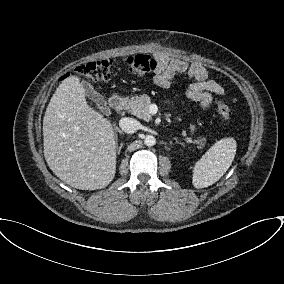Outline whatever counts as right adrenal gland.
<instances>
[{
  "instance_id": "1",
  "label": "right adrenal gland",
  "mask_w": 284,
  "mask_h": 284,
  "mask_svg": "<svg viewBox=\"0 0 284 284\" xmlns=\"http://www.w3.org/2000/svg\"><path fill=\"white\" fill-rule=\"evenodd\" d=\"M117 133H119V134H123V132L118 128V127H116L115 128V133H114V137H115V141H116V147H117V153L118 154H120V152H121V149H122V146H123V143H121L120 144V146H118V143H117Z\"/></svg>"
}]
</instances>
